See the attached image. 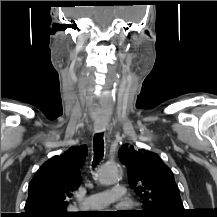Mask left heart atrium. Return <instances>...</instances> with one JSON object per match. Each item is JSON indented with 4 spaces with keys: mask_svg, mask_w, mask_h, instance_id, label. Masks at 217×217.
<instances>
[{
    "mask_svg": "<svg viewBox=\"0 0 217 217\" xmlns=\"http://www.w3.org/2000/svg\"><path fill=\"white\" fill-rule=\"evenodd\" d=\"M106 215H107V217H109L110 215H117V214L109 213V214H106ZM114 217H116V216H114Z\"/></svg>",
    "mask_w": 217,
    "mask_h": 217,
    "instance_id": "left-heart-atrium-1",
    "label": "left heart atrium"
}]
</instances>
